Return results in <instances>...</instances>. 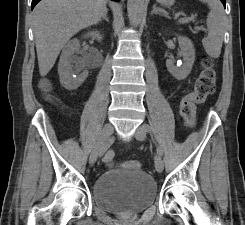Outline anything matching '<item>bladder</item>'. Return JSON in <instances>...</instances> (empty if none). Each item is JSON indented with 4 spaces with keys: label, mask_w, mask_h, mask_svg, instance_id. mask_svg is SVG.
Returning a JSON list of instances; mask_svg holds the SVG:
<instances>
[{
    "label": "bladder",
    "mask_w": 245,
    "mask_h": 225,
    "mask_svg": "<svg viewBox=\"0 0 245 225\" xmlns=\"http://www.w3.org/2000/svg\"><path fill=\"white\" fill-rule=\"evenodd\" d=\"M92 199L107 213L119 216L139 214L155 203L157 185L142 170H106L93 182Z\"/></svg>",
    "instance_id": "31cf9c89"
}]
</instances>
